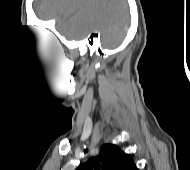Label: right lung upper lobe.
Masks as SVG:
<instances>
[{
    "label": "right lung upper lobe",
    "mask_w": 190,
    "mask_h": 170,
    "mask_svg": "<svg viewBox=\"0 0 190 170\" xmlns=\"http://www.w3.org/2000/svg\"><path fill=\"white\" fill-rule=\"evenodd\" d=\"M76 170H138L132 157L118 146L104 144L98 156L82 163Z\"/></svg>",
    "instance_id": "obj_1"
}]
</instances>
